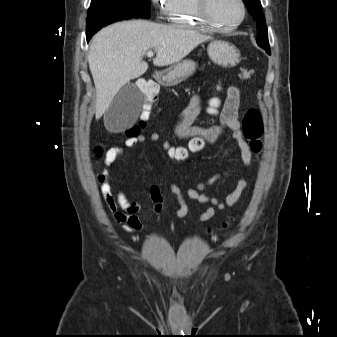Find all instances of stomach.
I'll return each instance as SVG.
<instances>
[{"instance_id": "1", "label": "stomach", "mask_w": 337, "mask_h": 337, "mask_svg": "<svg viewBox=\"0 0 337 337\" xmlns=\"http://www.w3.org/2000/svg\"><path fill=\"white\" fill-rule=\"evenodd\" d=\"M207 51L212 61L224 67L235 66L240 62L239 51L227 42L213 41L208 45ZM195 70L196 63L193 60L186 59L161 71L157 79L163 84L176 85L186 80Z\"/></svg>"}]
</instances>
